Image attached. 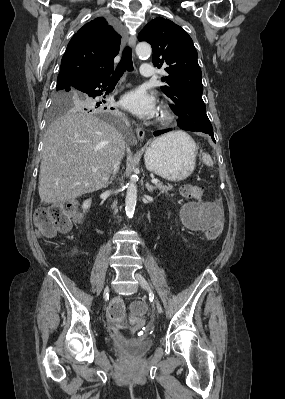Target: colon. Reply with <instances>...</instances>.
<instances>
[{"mask_svg": "<svg viewBox=\"0 0 285 399\" xmlns=\"http://www.w3.org/2000/svg\"><path fill=\"white\" fill-rule=\"evenodd\" d=\"M181 195L189 199H198L202 196L203 188L194 184H186L181 190ZM216 210V207L213 208ZM80 217L79 205L75 201H67L58 205L43 207L35 211L33 215V226L42 235L55 236L57 233L67 231L73 222ZM223 227L218 221L208 232L209 239H216ZM131 314L141 321L146 313V305L141 300L131 304Z\"/></svg>", "mask_w": 285, "mask_h": 399, "instance_id": "1", "label": "colon"}]
</instances>
